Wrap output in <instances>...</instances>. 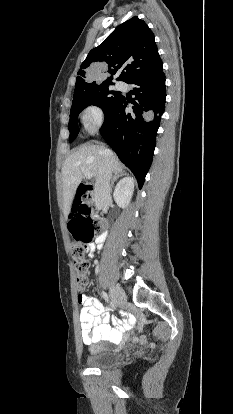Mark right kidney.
<instances>
[{
  "label": "right kidney",
  "instance_id": "ca27d5eb",
  "mask_svg": "<svg viewBox=\"0 0 233 414\" xmlns=\"http://www.w3.org/2000/svg\"><path fill=\"white\" fill-rule=\"evenodd\" d=\"M134 192V179L127 176L121 179L115 187L113 198L117 205L126 208L132 198Z\"/></svg>",
  "mask_w": 233,
  "mask_h": 414
}]
</instances>
